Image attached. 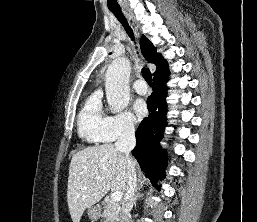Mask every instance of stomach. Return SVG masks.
Returning <instances> with one entry per match:
<instances>
[{
	"label": "stomach",
	"mask_w": 257,
	"mask_h": 222,
	"mask_svg": "<svg viewBox=\"0 0 257 222\" xmlns=\"http://www.w3.org/2000/svg\"><path fill=\"white\" fill-rule=\"evenodd\" d=\"M87 215H88L89 219L92 220V222L96 221L100 217V213H99V210L97 209V207L88 208Z\"/></svg>",
	"instance_id": "0dacf381"
}]
</instances>
